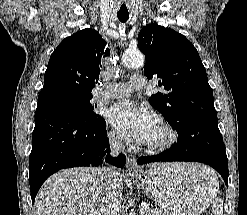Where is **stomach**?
<instances>
[{
  "label": "stomach",
  "mask_w": 247,
  "mask_h": 215,
  "mask_svg": "<svg viewBox=\"0 0 247 215\" xmlns=\"http://www.w3.org/2000/svg\"><path fill=\"white\" fill-rule=\"evenodd\" d=\"M195 166L190 171V164H158L138 180L166 215H200L216 196L218 181L206 166Z\"/></svg>",
  "instance_id": "stomach-1"
}]
</instances>
